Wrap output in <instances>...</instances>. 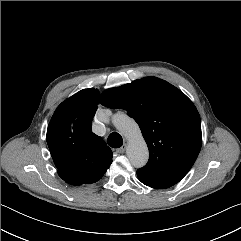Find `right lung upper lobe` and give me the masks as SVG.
Here are the masks:
<instances>
[{"label":"right lung upper lobe","mask_w":241,"mask_h":241,"mask_svg":"<svg viewBox=\"0 0 241 241\" xmlns=\"http://www.w3.org/2000/svg\"><path fill=\"white\" fill-rule=\"evenodd\" d=\"M99 91L84 89L62 102L47 129V144L59 173L81 184L102 178L112 163V151L92 132Z\"/></svg>","instance_id":"right-lung-upper-lobe-1"}]
</instances>
